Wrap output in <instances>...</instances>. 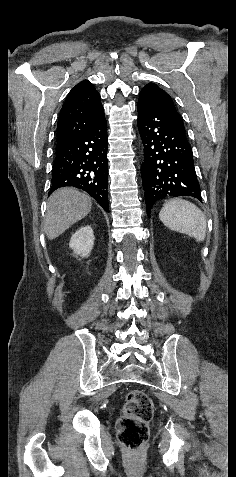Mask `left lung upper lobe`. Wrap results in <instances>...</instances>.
I'll list each match as a JSON object with an SVG mask.
<instances>
[{"instance_id":"5c2ea615","label":"left lung upper lobe","mask_w":236,"mask_h":477,"mask_svg":"<svg viewBox=\"0 0 236 477\" xmlns=\"http://www.w3.org/2000/svg\"><path fill=\"white\" fill-rule=\"evenodd\" d=\"M142 90L149 91L161 105L165 113L172 118V120L184 129V123L181 116L177 112L173 100L164 90L159 88L156 84L149 83L144 86Z\"/></svg>"}]
</instances>
